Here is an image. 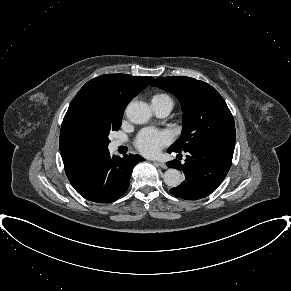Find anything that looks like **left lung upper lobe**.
<instances>
[{"instance_id": "5c2ea615", "label": "left lung upper lobe", "mask_w": 291, "mask_h": 291, "mask_svg": "<svg viewBox=\"0 0 291 291\" xmlns=\"http://www.w3.org/2000/svg\"><path fill=\"white\" fill-rule=\"evenodd\" d=\"M151 85L173 93L182 105V134L169 150L181 152L205 143L235 142L233 116L212 86L184 76L157 78Z\"/></svg>"}]
</instances>
